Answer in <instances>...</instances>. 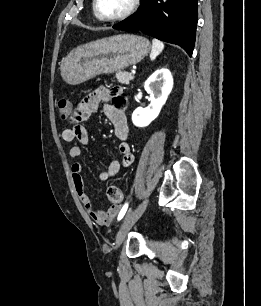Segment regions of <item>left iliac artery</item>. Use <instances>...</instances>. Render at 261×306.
<instances>
[{
    "label": "left iliac artery",
    "instance_id": "44dca946",
    "mask_svg": "<svg viewBox=\"0 0 261 306\" xmlns=\"http://www.w3.org/2000/svg\"><path fill=\"white\" fill-rule=\"evenodd\" d=\"M127 209H128V203H126V204L122 207V209H121V211H120V213H119V215H118V221H120V220L124 217V215H125Z\"/></svg>",
    "mask_w": 261,
    "mask_h": 306
}]
</instances>
